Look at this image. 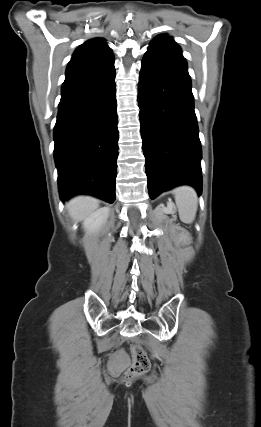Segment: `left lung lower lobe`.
<instances>
[{
    "label": "left lung lower lobe",
    "instance_id": "0a47b994",
    "mask_svg": "<svg viewBox=\"0 0 261 427\" xmlns=\"http://www.w3.org/2000/svg\"><path fill=\"white\" fill-rule=\"evenodd\" d=\"M138 90L150 198L182 184L201 195L202 152L186 61L148 49Z\"/></svg>",
    "mask_w": 261,
    "mask_h": 427
}]
</instances>
